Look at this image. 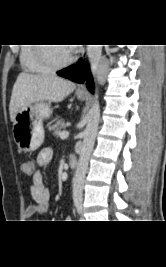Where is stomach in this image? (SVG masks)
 <instances>
[{"label":"stomach","instance_id":"obj_1","mask_svg":"<svg viewBox=\"0 0 166 267\" xmlns=\"http://www.w3.org/2000/svg\"><path fill=\"white\" fill-rule=\"evenodd\" d=\"M79 99L83 93L77 92ZM53 110L48 103L36 102L21 109L13 122V137L18 147L24 152L38 149L44 141L43 120L49 118Z\"/></svg>","mask_w":166,"mask_h":267}]
</instances>
